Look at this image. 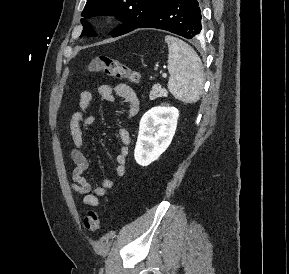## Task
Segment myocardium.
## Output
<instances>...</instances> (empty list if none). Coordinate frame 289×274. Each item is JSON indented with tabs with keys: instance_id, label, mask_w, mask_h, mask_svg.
Returning a JSON list of instances; mask_svg holds the SVG:
<instances>
[{
	"instance_id": "myocardium-1",
	"label": "myocardium",
	"mask_w": 289,
	"mask_h": 274,
	"mask_svg": "<svg viewBox=\"0 0 289 274\" xmlns=\"http://www.w3.org/2000/svg\"><path fill=\"white\" fill-rule=\"evenodd\" d=\"M113 16L109 13H103L100 15L99 20L102 23H109L112 20Z\"/></svg>"
}]
</instances>
